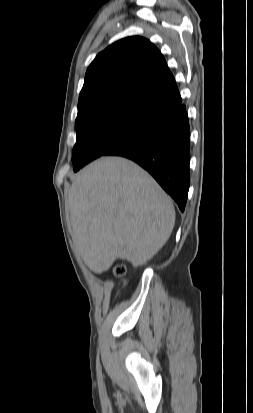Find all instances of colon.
Returning a JSON list of instances; mask_svg holds the SVG:
<instances>
[{
  "label": "colon",
  "instance_id": "colon-1",
  "mask_svg": "<svg viewBox=\"0 0 253 413\" xmlns=\"http://www.w3.org/2000/svg\"><path fill=\"white\" fill-rule=\"evenodd\" d=\"M126 273V267L122 264H118L113 268V274L115 276H123Z\"/></svg>",
  "mask_w": 253,
  "mask_h": 413
}]
</instances>
